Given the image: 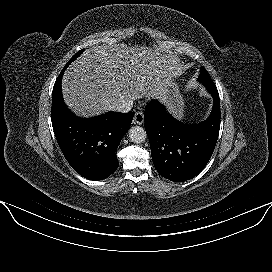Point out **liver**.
Wrapping results in <instances>:
<instances>
[{
	"label": "liver",
	"mask_w": 272,
	"mask_h": 272,
	"mask_svg": "<svg viewBox=\"0 0 272 272\" xmlns=\"http://www.w3.org/2000/svg\"><path fill=\"white\" fill-rule=\"evenodd\" d=\"M169 56L145 46L101 45L85 51L65 71V103L89 117L112 110L121 100L166 101L172 77Z\"/></svg>",
	"instance_id": "liver-1"
}]
</instances>
